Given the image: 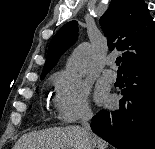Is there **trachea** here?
<instances>
[{"mask_svg":"<svg viewBox=\"0 0 155 149\" xmlns=\"http://www.w3.org/2000/svg\"><path fill=\"white\" fill-rule=\"evenodd\" d=\"M120 63H121V57H118V58L116 59V64H117V66H119ZM119 70H120V68H119Z\"/></svg>","mask_w":155,"mask_h":149,"instance_id":"1","label":"trachea"}]
</instances>
